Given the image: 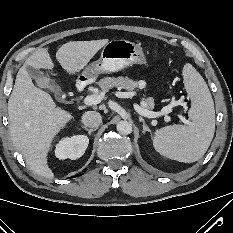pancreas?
<instances>
[{
	"mask_svg": "<svg viewBox=\"0 0 233 233\" xmlns=\"http://www.w3.org/2000/svg\"><path fill=\"white\" fill-rule=\"evenodd\" d=\"M142 84L141 81H134L127 77H105L98 82L99 87L104 91L108 92L112 88L125 89L127 91H132L138 88ZM146 103V108H153L154 100L152 98L144 99Z\"/></svg>",
	"mask_w": 233,
	"mask_h": 233,
	"instance_id": "1",
	"label": "pancreas"
}]
</instances>
